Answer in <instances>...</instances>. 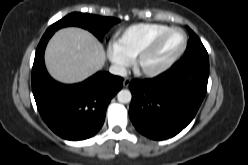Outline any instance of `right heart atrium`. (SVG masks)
Segmentation results:
<instances>
[{
	"label": "right heart atrium",
	"instance_id": "d8ad5b80",
	"mask_svg": "<svg viewBox=\"0 0 248 165\" xmlns=\"http://www.w3.org/2000/svg\"><path fill=\"white\" fill-rule=\"evenodd\" d=\"M107 56L115 69L123 73L130 65L131 59H129L119 48L115 42H111L107 47Z\"/></svg>",
	"mask_w": 248,
	"mask_h": 165
}]
</instances>
